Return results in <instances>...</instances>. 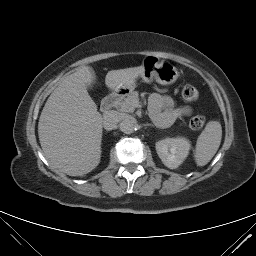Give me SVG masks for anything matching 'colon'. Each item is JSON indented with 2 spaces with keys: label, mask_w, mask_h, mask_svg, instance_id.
Here are the masks:
<instances>
[{
  "label": "colon",
  "mask_w": 256,
  "mask_h": 256,
  "mask_svg": "<svg viewBox=\"0 0 256 256\" xmlns=\"http://www.w3.org/2000/svg\"><path fill=\"white\" fill-rule=\"evenodd\" d=\"M181 96L183 101L190 103L198 99L199 92L194 86L187 85L183 88ZM205 123H206L205 116L197 115L190 119L189 126L194 130H199L205 125Z\"/></svg>",
  "instance_id": "obj_1"
}]
</instances>
